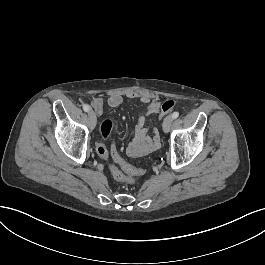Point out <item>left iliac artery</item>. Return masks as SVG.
<instances>
[{
    "label": "left iliac artery",
    "instance_id": "44dca946",
    "mask_svg": "<svg viewBox=\"0 0 265 265\" xmlns=\"http://www.w3.org/2000/svg\"><path fill=\"white\" fill-rule=\"evenodd\" d=\"M178 116H179V112H177V111H175V112L172 114L173 119H176Z\"/></svg>",
    "mask_w": 265,
    "mask_h": 265
}]
</instances>
